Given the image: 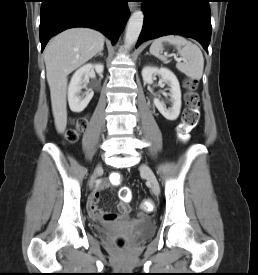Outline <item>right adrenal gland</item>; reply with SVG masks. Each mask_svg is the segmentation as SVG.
I'll list each match as a JSON object with an SVG mask.
<instances>
[{
  "label": "right adrenal gland",
  "instance_id": "obj_1",
  "mask_svg": "<svg viewBox=\"0 0 258 275\" xmlns=\"http://www.w3.org/2000/svg\"><path fill=\"white\" fill-rule=\"evenodd\" d=\"M102 55H103V53H102V51H100L95 57L102 56Z\"/></svg>",
  "mask_w": 258,
  "mask_h": 275
}]
</instances>
